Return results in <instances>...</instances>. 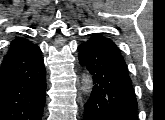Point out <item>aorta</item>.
I'll use <instances>...</instances> for the list:
<instances>
[{
  "instance_id": "aorta-1",
  "label": "aorta",
  "mask_w": 165,
  "mask_h": 120,
  "mask_svg": "<svg viewBox=\"0 0 165 120\" xmlns=\"http://www.w3.org/2000/svg\"><path fill=\"white\" fill-rule=\"evenodd\" d=\"M81 84H82L81 90L84 94H89L92 91L93 80H92V76L88 71H85L82 74Z\"/></svg>"
}]
</instances>
